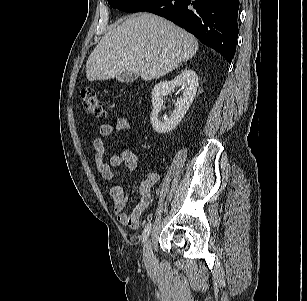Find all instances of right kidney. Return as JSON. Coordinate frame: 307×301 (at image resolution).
Masks as SVG:
<instances>
[{"label": "right kidney", "instance_id": "right-kidney-1", "mask_svg": "<svg viewBox=\"0 0 307 301\" xmlns=\"http://www.w3.org/2000/svg\"><path fill=\"white\" fill-rule=\"evenodd\" d=\"M180 84H182L184 89L183 97L177 99L175 110L171 116L161 121L158 114L163 105V97ZM198 85V76L196 72L191 69L183 70L171 81H161L155 85L152 91L153 110L150 116L151 124L155 132L164 134L176 128L193 102Z\"/></svg>", "mask_w": 307, "mask_h": 301}]
</instances>
